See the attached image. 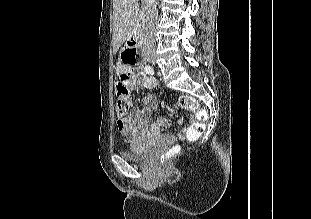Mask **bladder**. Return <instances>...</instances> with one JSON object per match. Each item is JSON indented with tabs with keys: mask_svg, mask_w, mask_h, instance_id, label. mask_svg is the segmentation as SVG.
<instances>
[{
	"mask_svg": "<svg viewBox=\"0 0 311 219\" xmlns=\"http://www.w3.org/2000/svg\"><path fill=\"white\" fill-rule=\"evenodd\" d=\"M150 153V145L131 143L129 149L121 150L120 155L126 160L140 161Z\"/></svg>",
	"mask_w": 311,
	"mask_h": 219,
	"instance_id": "obj_1",
	"label": "bladder"
}]
</instances>
